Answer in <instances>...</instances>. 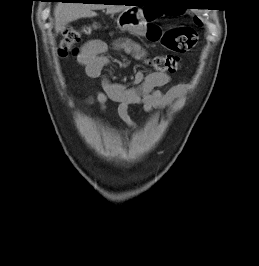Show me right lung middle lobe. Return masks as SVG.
Here are the masks:
<instances>
[{
    "label": "right lung middle lobe",
    "instance_id": "1",
    "mask_svg": "<svg viewBox=\"0 0 259 266\" xmlns=\"http://www.w3.org/2000/svg\"><path fill=\"white\" fill-rule=\"evenodd\" d=\"M57 1H62V0H57ZM63 1H68V0H63ZM63 1H62V2H63ZM69 1H70V0H69Z\"/></svg>",
    "mask_w": 259,
    "mask_h": 266
}]
</instances>
